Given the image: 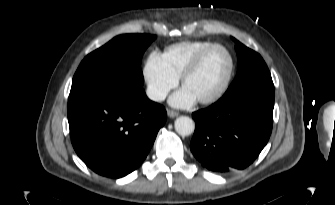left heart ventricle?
<instances>
[{"mask_svg": "<svg viewBox=\"0 0 335 205\" xmlns=\"http://www.w3.org/2000/svg\"><path fill=\"white\" fill-rule=\"evenodd\" d=\"M230 60L222 49H214L204 58L199 69L185 82L184 87L199 100L212 95L223 83Z\"/></svg>", "mask_w": 335, "mask_h": 205, "instance_id": "1", "label": "left heart ventricle"}]
</instances>
